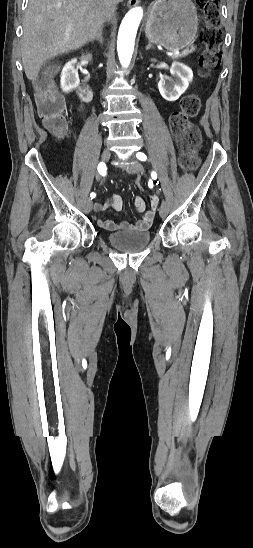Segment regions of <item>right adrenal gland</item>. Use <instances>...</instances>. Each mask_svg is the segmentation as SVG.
I'll return each instance as SVG.
<instances>
[{
    "instance_id": "obj_1",
    "label": "right adrenal gland",
    "mask_w": 253,
    "mask_h": 548,
    "mask_svg": "<svg viewBox=\"0 0 253 548\" xmlns=\"http://www.w3.org/2000/svg\"><path fill=\"white\" fill-rule=\"evenodd\" d=\"M99 41L101 44H103V38H102V29L100 30V32L98 33V35L93 38L92 40H90V42H93V41Z\"/></svg>"
}]
</instances>
